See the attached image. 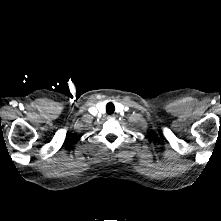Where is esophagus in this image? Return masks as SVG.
Wrapping results in <instances>:
<instances>
[{"mask_svg":"<svg viewBox=\"0 0 221 221\" xmlns=\"http://www.w3.org/2000/svg\"><path fill=\"white\" fill-rule=\"evenodd\" d=\"M107 118L108 119H115V116L114 115H109Z\"/></svg>","mask_w":221,"mask_h":221,"instance_id":"esophagus-1","label":"esophagus"}]
</instances>
